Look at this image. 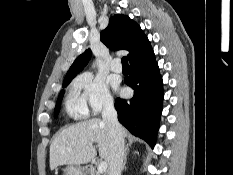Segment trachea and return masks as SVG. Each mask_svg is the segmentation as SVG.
I'll return each mask as SVG.
<instances>
[{"label":"trachea","mask_w":233,"mask_h":175,"mask_svg":"<svg viewBox=\"0 0 233 175\" xmlns=\"http://www.w3.org/2000/svg\"><path fill=\"white\" fill-rule=\"evenodd\" d=\"M122 66L123 67H129V64H128V58L127 57H123L122 60Z\"/></svg>","instance_id":"obj_1"}]
</instances>
